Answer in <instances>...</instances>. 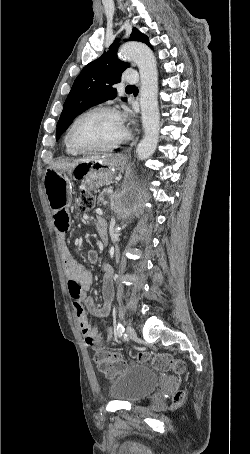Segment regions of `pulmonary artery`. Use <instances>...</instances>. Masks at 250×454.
<instances>
[{"instance_id": "obj_1", "label": "pulmonary artery", "mask_w": 250, "mask_h": 454, "mask_svg": "<svg viewBox=\"0 0 250 454\" xmlns=\"http://www.w3.org/2000/svg\"><path fill=\"white\" fill-rule=\"evenodd\" d=\"M139 79L138 73L135 71H128V73L125 76V82L127 83H137Z\"/></svg>"}]
</instances>
